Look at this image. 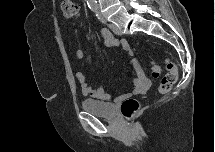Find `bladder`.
Wrapping results in <instances>:
<instances>
[{
	"label": "bladder",
	"instance_id": "1",
	"mask_svg": "<svg viewBox=\"0 0 215 152\" xmlns=\"http://www.w3.org/2000/svg\"><path fill=\"white\" fill-rule=\"evenodd\" d=\"M81 106L85 111L97 116L113 118L116 115V107L113 103L83 99Z\"/></svg>",
	"mask_w": 215,
	"mask_h": 152
}]
</instances>
